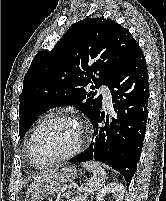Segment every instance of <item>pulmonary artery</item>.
<instances>
[{"label":"pulmonary artery","mask_w":166,"mask_h":201,"mask_svg":"<svg viewBox=\"0 0 166 201\" xmlns=\"http://www.w3.org/2000/svg\"><path fill=\"white\" fill-rule=\"evenodd\" d=\"M98 91L103 96L105 106L111 107L112 101H111V93L109 89L106 86H102L99 88Z\"/></svg>","instance_id":"obj_1"}]
</instances>
